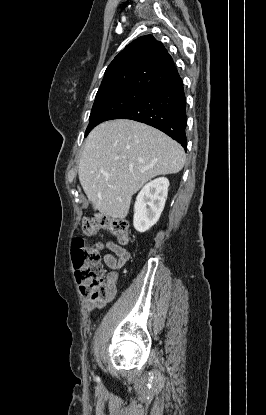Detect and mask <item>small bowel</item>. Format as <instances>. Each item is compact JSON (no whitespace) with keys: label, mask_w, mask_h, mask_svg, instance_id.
<instances>
[{"label":"small bowel","mask_w":266,"mask_h":415,"mask_svg":"<svg viewBox=\"0 0 266 415\" xmlns=\"http://www.w3.org/2000/svg\"><path fill=\"white\" fill-rule=\"evenodd\" d=\"M105 246L108 250L115 254H105L104 262L110 268V272L107 274L109 284L111 286V295L108 299L104 301H96L90 297V295H85V306L87 310L93 311L95 309L103 308L107 303L111 302L116 295V282L118 278L117 270L122 268L125 263L130 259V252L127 248L118 245L113 241H106Z\"/></svg>","instance_id":"obj_1"}]
</instances>
